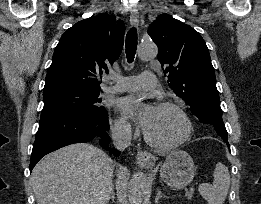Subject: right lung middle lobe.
<instances>
[{"label":"right lung middle lobe","mask_w":261,"mask_h":204,"mask_svg":"<svg viewBox=\"0 0 261 204\" xmlns=\"http://www.w3.org/2000/svg\"><path fill=\"white\" fill-rule=\"evenodd\" d=\"M100 90H66L44 94L42 113L60 109L105 110L98 99Z\"/></svg>","instance_id":"dd1d6c3e"}]
</instances>
